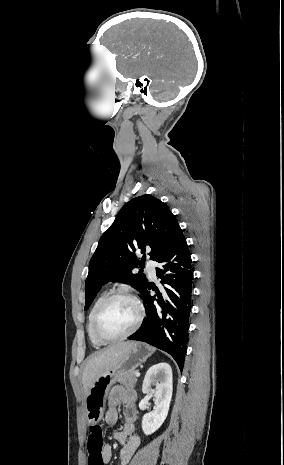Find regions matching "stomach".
I'll return each instance as SVG.
<instances>
[{"mask_svg": "<svg viewBox=\"0 0 284 465\" xmlns=\"http://www.w3.org/2000/svg\"><path fill=\"white\" fill-rule=\"evenodd\" d=\"M154 349L145 345V343H133L128 353H125L122 361L117 367L106 371L104 375H100L90 387L85 397V413L88 425H96L103 417L105 411L106 399L109 391L116 383L118 375L122 373H132L137 369L138 365L146 363L148 357H151Z\"/></svg>", "mask_w": 284, "mask_h": 465, "instance_id": "stomach-1", "label": "stomach"}]
</instances>
